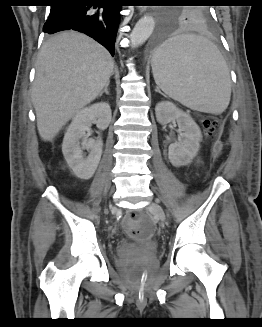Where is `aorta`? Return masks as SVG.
<instances>
[{
    "mask_svg": "<svg viewBox=\"0 0 262 327\" xmlns=\"http://www.w3.org/2000/svg\"><path fill=\"white\" fill-rule=\"evenodd\" d=\"M155 27V20L152 15L143 16L135 25L130 34L132 48L141 46L151 36Z\"/></svg>",
    "mask_w": 262,
    "mask_h": 327,
    "instance_id": "1",
    "label": "aorta"
}]
</instances>
